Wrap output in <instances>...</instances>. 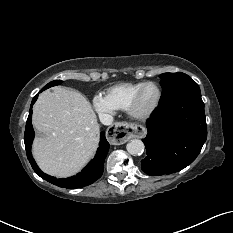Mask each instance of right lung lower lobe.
<instances>
[{
    "label": "right lung lower lobe",
    "instance_id": "98d812e1",
    "mask_svg": "<svg viewBox=\"0 0 233 233\" xmlns=\"http://www.w3.org/2000/svg\"><path fill=\"white\" fill-rule=\"evenodd\" d=\"M42 91L43 90H41L40 92ZM37 98H38V95H36L32 100L31 107L29 110V116H28L27 123H26L25 134H24V142H25V148L27 152V158L29 159V162L32 168L44 180L54 185H57L59 187L79 188V187H84V186L92 184L98 178L102 176L103 169H104L103 167L104 160L109 150V143L107 142L105 138V133L101 134V141L99 144L100 147L98 148L95 158L76 176L66 178V179H57L55 177H52V176H49L43 173L38 168L37 164L32 158V153H31V145L34 139V130L32 126V106L37 100Z\"/></svg>",
    "mask_w": 233,
    "mask_h": 233
}]
</instances>
